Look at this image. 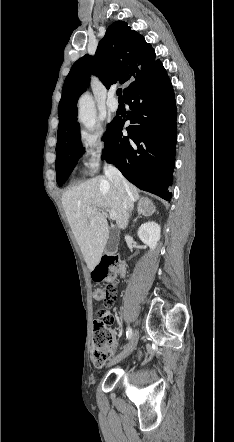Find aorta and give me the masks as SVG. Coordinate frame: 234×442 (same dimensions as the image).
Here are the masks:
<instances>
[{"label":"aorta","instance_id":"aorta-1","mask_svg":"<svg viewBox=\"0 0 234 442\" xmlns=\"http://www.w3.org/2000/svg\"><path fill=\"white\" fill-rule=\"evenodd\" d=\"M79 120L88 130H93L96 124V111L93 98L84 94L79 100Z\"/></svg>","mask_w":234,"mask_h":442}]
</instances>
